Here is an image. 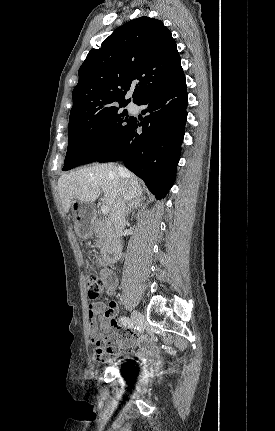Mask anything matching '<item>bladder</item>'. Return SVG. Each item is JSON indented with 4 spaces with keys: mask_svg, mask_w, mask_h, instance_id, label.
Returning a JSON list of instances; mask_svg holds the SVG:
<instances>
[{
    "mask_svg": "<svg viewBox=\"0 0 275 431\" xmlns=\"http://www.w3.org/2000/svg\"><path fill=\"white\" fill-rule=\"evenodd\" d=\"M125 364H126V361H124V360L116 361V365H117L118 369H121Z\"/></svg>",
    "mask_w": 275,
    "mask_h": 431,
    "instance_id": "1",
    "label": "bladder"
}]
</instances>
